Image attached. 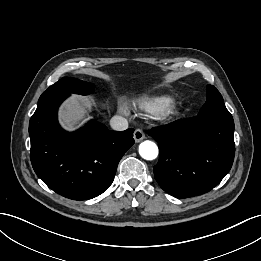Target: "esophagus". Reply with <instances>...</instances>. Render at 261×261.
Segmentation results:
<instances>
[{"instance_id": "obj_1", "label": "esophagus", "mask_w": 261, "mask_h": 261, "mask_svg": "<svg viewBox=\"0 0 261 261\" xmlns=\"http://www.w3.org/2000/svg\"><path fill=\"white\" fill-rule=\"evenodd\" d=\"M135 142H140L145 138V134L141 129H136L133 134Z\"/></svg>"}]
</instances>
